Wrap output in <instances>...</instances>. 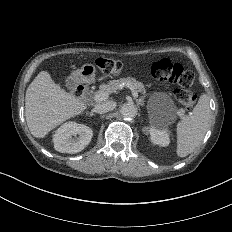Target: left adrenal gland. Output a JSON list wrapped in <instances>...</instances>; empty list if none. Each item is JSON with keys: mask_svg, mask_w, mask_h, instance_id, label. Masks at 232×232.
Returning <instances> with one entry per match:
<instances>
[{"mask_svg": "<svg viewBox=\"0 0 232 232\" xmlns=\"http://www.w3.org/2000/svg\"><path fill=\"white\" fill-rule=\"evenodd\" d=\"M137 104L143 106L144 105V96H142L139 100H136Z\"/></svg>", "mask_w": 232, "mask_h": 232, "instance_id": "left-adrenal-gland-1", "label": "left adrenal gland"}]
</instances>
